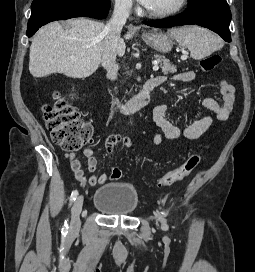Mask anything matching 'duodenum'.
Instances as JSON below:
<instances>
[{
  "label": "duodenum",
  "instance_id": "duodenum-1",
  "mask_svg": "<svg viewBox=\"0 0 255 272\" xmlns=\"http://www.w3.org/2000/svg\"><path fill=\"white\" fill-rule=\"evenodd\" d=\"M160 85L156 77L149 78L143 85L141 91L127 101H121L117 98L112 99V103L117 105L124 113H134L145 107L150 99L153 91Z\"/></svg>",
  "mask_w": 255,
  "mask_h": 272
}]
</instances>
